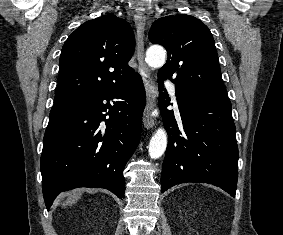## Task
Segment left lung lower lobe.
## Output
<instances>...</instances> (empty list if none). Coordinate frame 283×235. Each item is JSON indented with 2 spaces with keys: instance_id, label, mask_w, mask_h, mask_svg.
<instances>
[{
  "instance_id": "left-lung-lower-lobe-1",
  "label": "left lung lower lobe",
  "mask_w": 283,
  "mask_h": 235,
  "mask_svg": "<svg viewBox=\"0 0 283 235\" xmlns=\"http://www.w3.org/2000/svg\"><path fill=\"white\" fill-rule=\"evenodd\" d=\"M163 79L159 77V107L168 132L161 175V191L186 183H209L235 196L238 147L229 99L198 95L175 86L182 122L165 107Z\"/></svg>"
}]
</instances>
